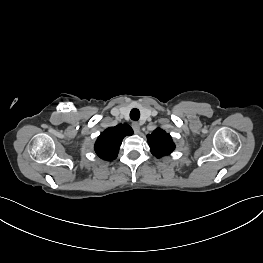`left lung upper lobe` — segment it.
I'll return each instance as SVG.
<instances>
[{
    "mask_svg": "<svg viewBox=\"0 0 263 263\" xmlns=\"http://www.w3.org/2000/svg\"><path fill=\"white\" fill-rule=\"evenodd\" d=\"M147 138L151 152L157 158L168 155L175 149L171 136L160 128L154 130Z\"/></svg>",
    "mask_w": 263,
    "mask_h": 263,
    "instance_id": "5c2ea615",
    "label": "left lung upper lobe"
}]
</instances>
